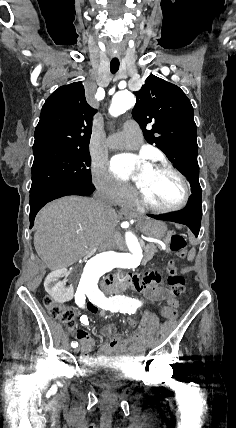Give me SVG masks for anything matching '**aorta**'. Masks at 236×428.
Here are the masks:
<instances>
[{
	"label": "aorta",
	"mask_w": 236,
	"mask_h": 428,
	"mask_svg": "<svg viewBox=\"0 0 236 428\" xmlns=\"http://www.w3.org/2000/svg\"><path fill=\"white\" fill-rule=\"evenodd\" d=\"M135 97L129 91L117 92L109 108V113L117 117L135 105ZM125 242L129 251H106L90 258L82 270L79 288L86 295L100 293V277L114 268H136L143 258L142 247L137 237L131 232L125 233Z\"/></svg>",
	"instance_id": "aorta-1"
}]
</instances>
